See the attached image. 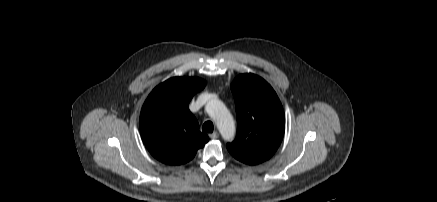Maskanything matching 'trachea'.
Instances as JSON below:
<instances>
[{"label":"trachea","instance_id":"3493384b","mask_svg":"<svg viewBox=\"0 0 437 202\" xmlns=\"http://www.w3.org/2000/svg\"><path fill=\"white\" fill-rule=\"evenodd\" d=\"M213 129H214V126H213V123L211 121H206L202 126V130L204 132H207V133H212Z\"/></svg>","mask_w":437,"mask_h":202}]
</instances>
